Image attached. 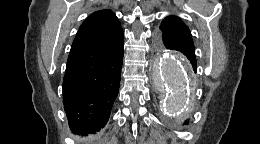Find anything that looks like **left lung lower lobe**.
<instances>
[{
  "label": "left lung lower lobe",
  "instance_id": "1",
  "mask_svg": "<svg viewBox=\"0 0 260 144\" xmlns=\"http://www.w3.org/2000/svg\"><path fill=\"white\" fill-rule=\"evenodd\" d=\"M158 39L163 42L167 49H173L182 52L192 64L193 70L196 72L197 63L195 56V48L192 38L175 36L170 34L159 35Z\"/></svg>",
  "mask_w": 260,
  "mask_h": 144
}]
</instances>
